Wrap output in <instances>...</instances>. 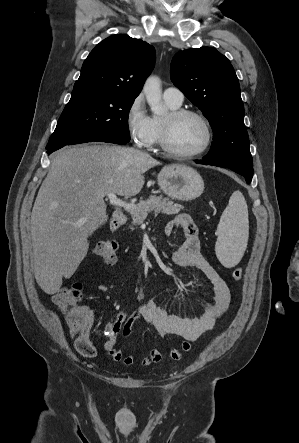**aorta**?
<instances>
[{
    "mask_svg": "<svg viewBox=\"0 0 299 443\" xmlns=\"http://www.w3.org/2000/svg\"><path fill=\"white\" fill-rule=\"evenodd\" d=\"M143 92L146 96L148 105L151 111L156 116H162L166 113V108L162 104V90L160 79L156 76H150L147 78Z\"/></svg>",
    "mask_w": 299,
    "mask_h": 443,
    "instance_id": "1",
    "label": "aorta"
}]
</instances>
